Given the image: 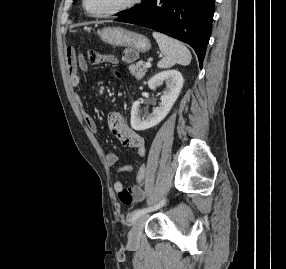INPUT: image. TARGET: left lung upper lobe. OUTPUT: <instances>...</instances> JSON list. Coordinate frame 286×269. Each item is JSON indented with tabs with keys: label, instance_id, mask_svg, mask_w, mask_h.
Listing matches in <instances>:
<instances>
[{
	"label": "left lung upper lobe",
	"instance_id": "5c2ea615",
	"mask_svg": "<svg viewBox=\"0 0 286 269\" xmlns=\"http://www.w3.org/2000/svg\"><path fill=\"white\" fill-rule=\"evenodd\" d=\"M74 1H75V0H74ZM148 1H149V0H142V4H141L139 7H133V8H131L130 10L124 11L123 13H125V15L130 14V13H133V12H135V11H137V10L143 8V7L147 4ZM123 16H124V15H123ZM120 17H121V16H120Z\"/></svg>",
	"mask_w": 286,
	"mask_h": 269
}]
</instances>
